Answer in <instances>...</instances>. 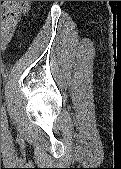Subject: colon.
<instances>
[{"label":"colon","instance_id":"1","mask_svg":"<svg viewBox=\"0 0 121 169\" xmlns=\"http://www.w3.org/2000/svg\"><path fill=\"white\" fill-rule=\"evenodd\" d=\"M31 1H2L3 43L6 44L21 17L29 10Z\"/></svg>","mask_w":121,"mask_h":169}]
</instances>
